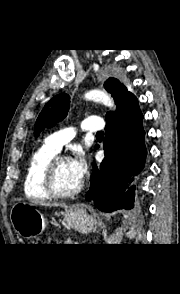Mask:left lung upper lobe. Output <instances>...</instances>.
I'll list each match as a JSON object with an SVG mask.
<instances>
[{"label":"left lung upper lobe","instance_id":"5c2ea615","mask_svg":"<svg viewBox=\"0 0 180 294\" xmlns=\"http://www.w3.org/2000/svg\"><path fill=\"white\" fill-rule=\"evenodd\" d=\"M105 89L111 93L117 105L116 112H108L106 114V120L113 117L122 105L132 96L131 92L127 90L124 84H122L116 78H109L104 83ZM70 105L69 95L62 93L52 98L43 108L35 124V136L37 137L44 128L54 126L59 121L63 120L68 113Z\"/></svg>","mask_w":180,"mask_h":294}]
</instances>
